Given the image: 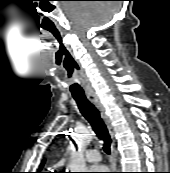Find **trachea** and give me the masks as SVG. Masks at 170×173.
<instances>
[{
	"label": "trachea",
	"mask_w": 170,
	"mask_h": 173,
	"mask_svg": "<svg viewBox=\"0 0 170 173\" xmlns=\"http://www.w3.org/2000/svg\"><path fill=\"white\" fill-rule=\"evenodd\" d=\"M72 96L76 101L81 114L90 123L98 138L103 140L104 152L110 154V135L106 125L100 117L98 109L91 101L88 100L84 93H73Z\"/></svg>",
	"instance_id": "obj_1"
}]
</instances>
